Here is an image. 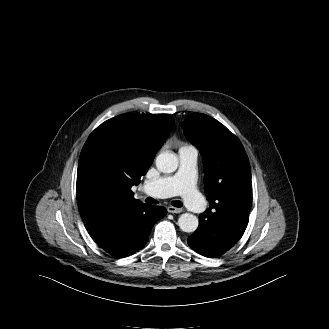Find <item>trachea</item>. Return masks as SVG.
<instances>
[{"instance_id": "trachea-1", "label": "trachea", "mask_w": 329, "mask_h": 329, "mask_svg": "<svg viewBox=\"0 0 329 329\" xmlns=\"http://www.w3.org/2000/svg\"><path fill=\"white\" fill-rule=\"evenodd\" d=\"M146 203H149V204H157V201L155 199H153L152 197H148L146 198L145 200ZM174 207H182V202L181 201H172L171 203Z\"/></svg>"}]
</instances>
